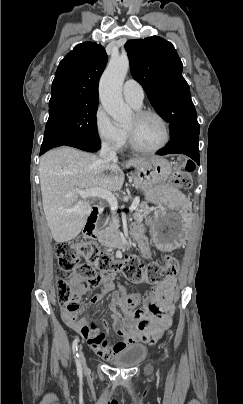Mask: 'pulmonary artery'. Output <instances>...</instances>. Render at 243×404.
Returning <instances> with one entry per match:
<instances>
[{"mask_svg":"<svg viewBox=\"0 0 243 404\" xmlns=\"http://www.w3.org/2000/svg\"><path fill=\"white\" fill-rule=\"evenodd\" d=\"M125 100L134 108H139L144 99V90L141 84L134 79H127L122 87Z\"/></svg>","mask_w":243,"mask_h":404,"instance_id":"pulmonary-artery-1","label":"pulmonary artery"}]
</instances>
